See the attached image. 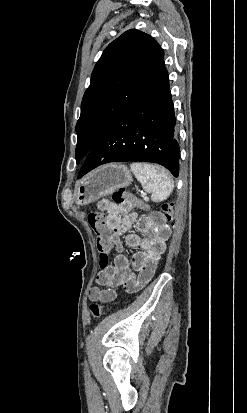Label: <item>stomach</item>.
I'll return each mask as SVG.
<instances>
[{"label": "stomach", "instance_id": "0dacf381", "mask_svg": "<svg viewBox=\"0 0 247 413\" xmlns=\"http://www.w3.org/2000/svg\"><path fill=\"white\" fill-rule=\"evenodd\" d=\"M132 180L131 170L125 164H119V162L102 164L77 180L75 202L78 207H83V204H89L101 196L112 194L114 190L126 188Z\"/></svg>", "mask_w": 247, "mask_h": 413}]
</instances>
